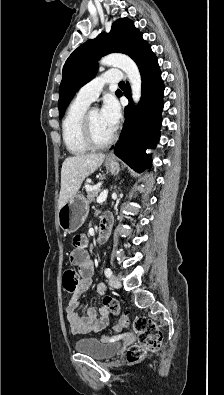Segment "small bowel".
<instances>
[{
	"label": "small bowel",
	"instance_id": "c3829d8e",
	"mask_svg": "<svg viewBox=\"0 0 224 395\" xmlns=\"http://www.w3.org/2000/svg\"><path fill=\"white\" fill-rule=\"evenodd\" d=\"M73 242L75 246L70 254V261L79 267L81 280L65 308L66 319L72 334L98 332L109 324L110 311L106 305H103L98 312L93 307H87L82 313L79 312L80 299L92 284L94 263L86 249L87 240L83 236H76ZM96 291L100 297H103L106 292L105 285L98 284Z\"/></svg>",
	"mask_w": 224,
	"mask_h": 395
}]
</instances>
